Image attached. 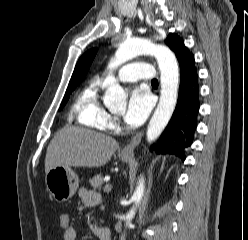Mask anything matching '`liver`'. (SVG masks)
Listing matches in <instances>:
<instances>
[{
    "instance_id": "obj_1",
    "label": "liver",
    "mask_w": 248,
    "mask_h": 240,
    "mask_svg": "<svg viewBox=\"0 0 248 240\" xmlns=\"http://www.w3.org/2000/svg\"><path fill=\"white\" fill-rule=\"evenodd\" d=\"M117 141L107 135L81 128H64L50 142L45 173L57 166L101 167L118 148Z\"/></svg>"
}]
</instances>
